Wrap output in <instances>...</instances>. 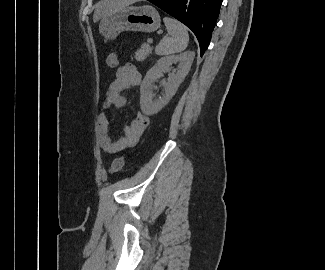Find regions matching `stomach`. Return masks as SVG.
Instances as JSON below:
<instances>
[{"instance_id":"stomach-1","label":"stomach","mask_w":325,"mask_h":270,"mask_svg":"<svg viewBox=\"0 0 325 270\" xmlns=\"http://www.w3.org/2000/svg\"><path fill=\"white\" fill-rule=\"evenodd\" d=\"M160 25L159 13L152 6L126 7L103 17L99 31L105 39L112 40L123 31L153 32Z\"/></svg>"}]
</instances>
